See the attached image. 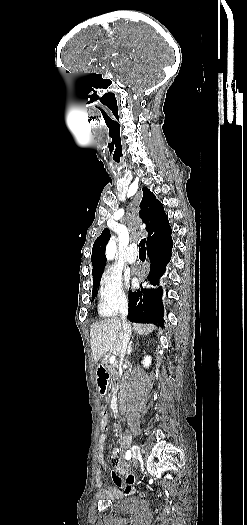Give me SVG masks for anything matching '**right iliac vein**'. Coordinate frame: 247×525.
<instances>
[{"label":"right iliac vein","instance_id":"1","mask_svg":"<svg viewBox=\"0 0 247 525\" xmlns=\"http://www.w3.org/2000/svg\"><path fill=\"white\" fill-rule=\"evenodd\" d=\"M132 451H133L132 463L136 464L137 460H138V458L140 456V449H139V447L137 445H133Z\"/></svg>","mask_w":247,"mask_h":525}]
</instances>
